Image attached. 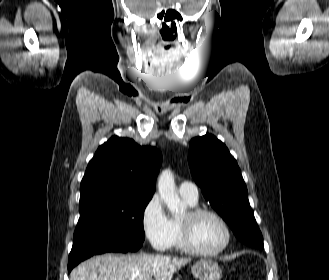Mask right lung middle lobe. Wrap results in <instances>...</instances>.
Instances as JSON below:
<instances>
[{
	"instance_id": "right-lung-middle-lobe-1",
	"label": "right lung middle lobe",
	"mask_w": 329,
	"mask_h": 280,
	"mask_svg": "<svg viewBox=\"0 0 329 280\" xmlns=\"http://www.w3.org/2000/svg\"><path fill=\"white\" fill-rule=\"evenodd\" d=\"M151 198L120 196L80 203V218L74 232L68 265L100 246L137 251L145 238L143 213Z\"/></svg>"
}]
</instances>
